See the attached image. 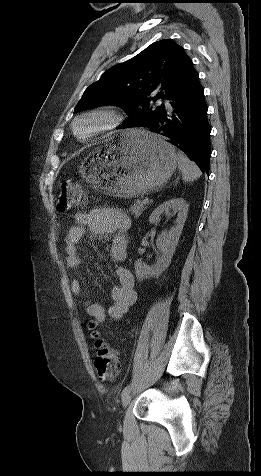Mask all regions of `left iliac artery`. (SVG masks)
<instances>
[{
    "label": "left iliac artery",
    "instance_id": "44dca946",
    "mask_svg": "<svg viewBox=\"0 0 261 476\" xmlns=\"http://www.w3.org/2000/svg\"><path fill=\"white\" fill-rule=\"evenodd\" d=\"M131 389V384H128L122 391V395L128 392Z\"/></svg>",
    "mask_w": 261,
    "mask_h": 476
}]
</instances>
